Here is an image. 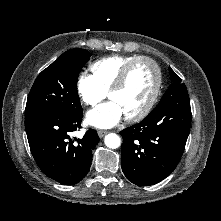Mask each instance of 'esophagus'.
Listing matches in <instances>:
<instances>
[{
  "label": "esophagus",
  "mask_w": 221,
  "mask_h": 221,
  "mask_svg": "<svg viewBox=\"0 0 221 221\" xmlns=\"http://www.w3.org/2000/svg\"><path fill=\"white\" fill-rule=\"evenodd\" d=\"M107 134V131H98V135L100 138H103Z\"/></svg>",
  "instance_id": "esophagus-1"
}]
</instances>
